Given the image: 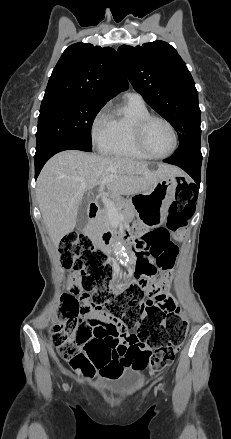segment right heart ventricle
<instances>
[{"label":"right heart ventricle","mask_w":231,"mask_h":439,"mask_svg":"<svg viewBox=\"0 0 231 439\" xmlns=\"http://www.w3.org/2000/svg\"><path fill=\"white\" fill-rule=\"evenodd\" d=\"M150 115L144 101L128 99L125 105L109 117L108 138L100 150L116 157L148 160L150 159L138 147L135 131L138 123Z\"/></svg>","instance_id":"obj_1"}]
</instances>
